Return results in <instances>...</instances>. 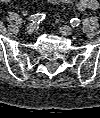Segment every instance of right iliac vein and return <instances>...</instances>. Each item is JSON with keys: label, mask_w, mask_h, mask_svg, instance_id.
Here are the masks:
<instances>
[{"label": "right iliac vein", "mask_w": 100, "mask_h": 118, "mask_svg": "<svg viewBox=\"0 0 100 118\" xmlns=\"http://www.w3.org/2000/svg\"><path fill=\"white\" fill-rule=\"evenodd\" d=\"M28 34H34L36 32V25L29 24L26 28Z\"/></svg>", "instance_id": "obj_1"}]
</instances>
